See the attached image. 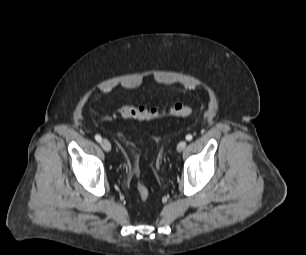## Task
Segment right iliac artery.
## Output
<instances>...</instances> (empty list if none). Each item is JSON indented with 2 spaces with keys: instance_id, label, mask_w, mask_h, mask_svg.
I'll use <instances>...</instances> for the list:
<instances>
[{
  "instance_id": "82829eb1",
  "label": "right iliac artery",
  "mask_w": 306,
  "mask_h": 255,
  "mask_svg": "<svg viewBox=\"0 0 306 255\" xmlns=\"http://www.w3.org/2000/svg\"><path fill=\"white\" fill-rule=\"evenodd\" d=\"M95 140L97 141V142H101V140H102V138H101V136L100 135H95Z\"/></svg>"
}]
</instances>
